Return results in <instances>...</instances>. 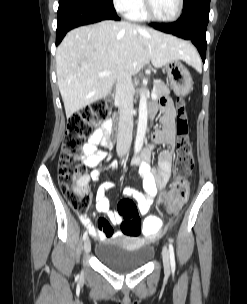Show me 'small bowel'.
Segmentation results:
<instances>
[{
  "instance_id": "c3829d8e",
  "label": "small bowel",
  "mask_w": 247,
  "mask_h": 304,
  "mask_svg": "<svg viewBox=\"0 0 247 304\" xmlns=\"http://www.w3.org/2000/svg\"><path fill=\"white\" fill-rule=\"evenodd\" d=\"M151 110L156 113L162 111L161 123L162 128L154 133V143L156 145L166 144L169 149L159 153V161L156 169L149 164L151 159L152 148L145 150L141 155L134 157L133 164L136 166L138 174L142 181L143 191L136 190L132 187H126L123 194L132 197L138 203L139 212L142 215L148 213L153 204L154 198L159 190H162L168 184L171 178L172 160L175 148V115L176 110L167 98L160 99L158 104H154ZM112 121L106 120L97 128L89 137L88 141L82 148L83 163L86 167L92 168L90 176H86V182L89 179L98 180L99 172L105 167H115V162H110L107 165H101V162L106 158L107 153L99 149V146L110 148ZM114 188L112 182H105L99 186L96 193L97 210L99 213L105 214L107 219H99L97 226H94L89 217H83L82 223L89 230V233L99 239L119 238L123 233L118 231L113 233L112 226L121 222V217L117 212L110 209V199L106 193Z\"/></svg>"
}]
</instances>
